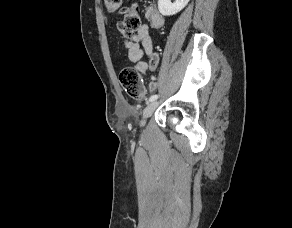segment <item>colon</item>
I'll return each mask as SVG.
<instances>
[{"label":"colon","instance_id":"5ec220e1","mask_svg":"<svg viewBox=\"0 0 292 228\" xmlns=\"http://www.w3.org/2000/svg\"><path fill=\"white\" fill-rule=\"evenodd\" d=\"M107 11L121 13L123 19L118 23L120 33L125 37L133 36L143 25L139 9L127 4L126 0H105ZM152 26L160 27L163 23L161 16L152 12L149 15ZM121 86L133 99L142 100L146 96V89L142 82L141 73L135 67L124 68L119 75Z\"/></svg>","mask_w":292,"mask_h":228}]
</instances>
